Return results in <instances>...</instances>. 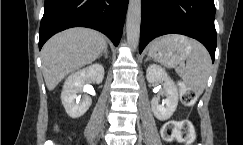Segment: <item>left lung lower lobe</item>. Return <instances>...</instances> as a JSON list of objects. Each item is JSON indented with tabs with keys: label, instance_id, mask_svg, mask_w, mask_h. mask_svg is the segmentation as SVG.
Here are the masks:
<instances>
[{
	"label": "left lung lower lobe",
	"instance_id": "obj_1",
	"mask_svg": "<svg viewBox=\"0 0 243 145\" xmlns=\"http://www.w3.org/2000/svg\"><path fill=\"white\" fill-rule=\"evenodd\" d=\"M214 0H142L140 53L155 37L177 33L200 41L215 59Z\"/></svg>",
	"mask_w": 243,
	"mask_h": 145
}]
</instances>
